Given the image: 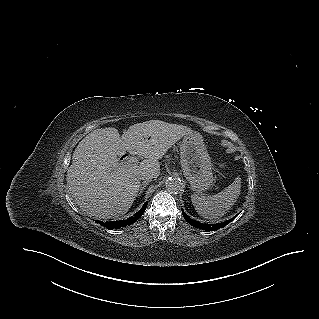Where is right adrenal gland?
<instances>
[{"instance_id": "right-adrenal-gland-1", "label": "right adrenal gland", "mask_w": 319, "mask_h": 319, "mask_svg": "<svg viewBox=\"0 0 319 319\" xmlns=\"http://www.w3.org/2000/svg\"><path fill=\"white\" fill-rule=\"evenodd\" d=\"M149 182H150V180H145L142 182V184L140 185L138 196H140L143 193V190L149 184Z\"/></svg>"}]
</instances>
